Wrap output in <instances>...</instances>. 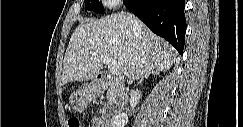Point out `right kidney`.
<instances>
[{
    "label": "right kidney",
    "instance_id": "obj_1",
    "mask_svg": "<svg viewBox=\"0 0 243 127\" xmlns=\"http://www.w3.org/2000/svg\"><path fill=\"white\" fill-rule=\"evenodd\" d=\"M128 123V116L127 114H118L115 116L113 120V126L114 127H124Z\"/></svg>",
    "mask_w": 243,
    "mask_h": 127
}]
</instances>
